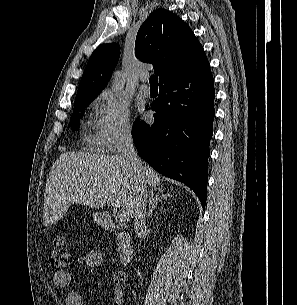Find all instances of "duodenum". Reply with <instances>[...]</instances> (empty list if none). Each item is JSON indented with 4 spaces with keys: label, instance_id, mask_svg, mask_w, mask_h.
<instances>
[{
    "label": "duodenum",
    "instance_id": "410a0bca",
    "mask_svg": "<svg viewBox=\"0 0 297 305\" xmlns=\"http://www.w3.org/2000/svg\"><path fill=\"white\" fill-rule=\"evenodd\" d=\"M100 224L107 230L115 231L116 226L110 215L103 214L100 217ZM134 258V249L128 234H124L121 238L119 259L124 265L129 264Z\"/></svg>",
    "mask_w": 297,
    "mask_h": 305
}]
</instances>
